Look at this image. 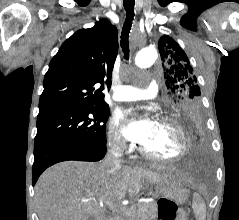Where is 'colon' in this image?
I'll list each match as a JSON object with an SVG mask.
<instances>
[{
    "label": "colon",
    "instance_id": "5ec220e1",
    "mask_svg": "<svg viewBox=\"0 0 239 220\" xmlns=\"http://www.w3.org/2000/svg\"><path fill=\"white\" fill-rule=\"evenodd\" d=\"M196 90L193 88L188 89L187 93L189 95L195 94ZM159 209V219L160 220H175L177 216V207L176 205L166 199H162L158 203Z\"/></svg>",
    "mask_w": 239,
    "mask_h": 220
}]
</instances>
